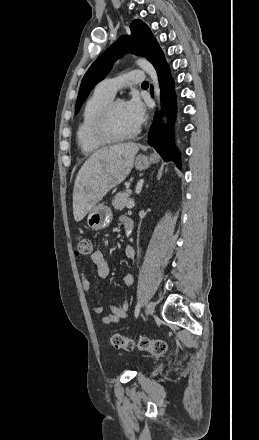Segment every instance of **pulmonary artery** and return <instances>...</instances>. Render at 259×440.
Instances as JSON below:
<instances>
[{"label":"pulmonary artery","mask_w":259,"mask_h":440,"mask_svg":"<svg viewBox=\"0 0 259 440\" xmlns=\"http://www.w3.org/2000/svg\"><path fill=\"white\" fill-rule=\"evenodd\" d=\"M145 76L141 70H132L126 74L115 78H108L101 81L97 88L99 91L114 97L116 92L126 85L140 84L144 81Z\"/></svg>","instance_id":"pulmonary-artery-1"}]
</instances>
